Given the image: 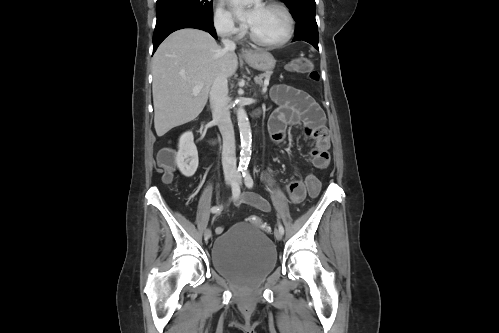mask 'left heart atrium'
I'll return each instance as SVG.
<instances>
[{
	"instance_id": "obj_1",
	"label": "left heart atrium",
	"mask_w": 499,
	"mask_h": 333,
	"mask_svg": "<svg viewBox=\"0 0 499 333\" xmlns=\"http://www.w3.org/2000/svg\"><path fill=\"white\" fill-rule=\"evenodd\" d=\"M227 3L234 15L249 26L263 7L260 0H227Z\"/></svg>"
}]
</instances>
